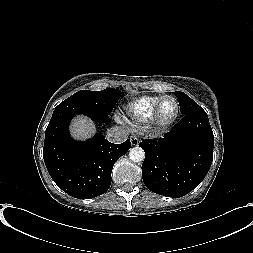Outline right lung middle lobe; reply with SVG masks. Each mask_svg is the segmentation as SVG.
Segmentation results:
<instances>
[{
	"instance_id": "right-lung-middle-lobe-1",
	"label": "right lung middle lobe",
	"mask_w": 253,
	"mask_h": 253,
	"mask_svg": "<svg viewBox=\"0 0 253 253\" xmlns=\"http://www.w3.org/2000/svg\"><path fill=\"white\" fill-rule=\"evenodd\" d=\"M120 94V90L112 88L102 91L81 90L61 102L59 105L84 106L99 113L109 114L119 100Z\"/></svg>"
}]
</instances>
